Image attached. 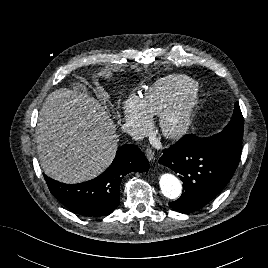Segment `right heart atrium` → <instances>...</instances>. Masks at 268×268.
I'll list each match as a JSON object with an SVG mask.
<instances>
[{"label": "right heart atrium", "mask_w": 268, "mask_h": 268, "mask_svg": "<svg viewBox=\"0 0 268 268\" xmlns=\"http://www.w3.org/2000/svg\"><path fill=\"white\" fill-rule=\"evenodd\" d=\"M121 110L126 127L136 132L141 131L152 118L143 99L137 95H130L122 101Z\"/></svg>", "instance_id": "obj_1"}]
</instances>
